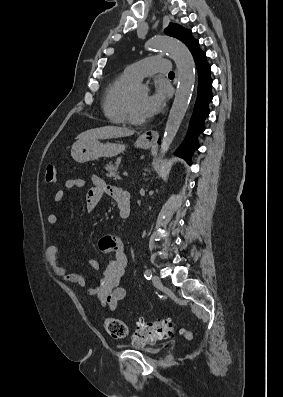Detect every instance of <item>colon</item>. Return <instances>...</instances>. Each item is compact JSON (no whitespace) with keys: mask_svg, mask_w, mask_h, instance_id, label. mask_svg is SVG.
I'll return each instance as SVG.
<instances>
[{"mask_svg":"<svg viewBox=\"0 0 283 397\" xmlns=\"http://www.w3.org/2000/svg\"><path fill=\"white\" fill-rule=\"evenodd\" d=\"M57 178V167L53 164L46 166L43 181L46 184H53ZM105 329L107 333L116 340H124L129 337V330L125 323L116 318L105 319ZM174 325L170 319H161L153 322L141 323L131 335L135 344H144L156 339L167 338L173 335ZM182 333L189 338L186 331Z\"/></svg>","mask_w":283,"mask_h":397,"instance_id":"5ec220e1","label":"colon"}]
</instances>
